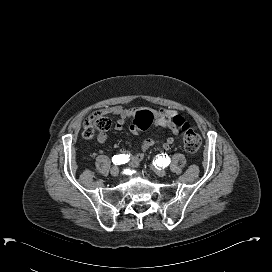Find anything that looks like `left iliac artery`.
Segmentation results:
<instances>
[{"instance_id":"left-iliac-artery-1","label":"left iliac artery","mask_w":272,"mask_h":272,"mask_svg":"<svg viewBox=\"0 0 272 272\" xmlns=\"http://www.w3.org/2000/svg\"><path fill=\"white\" fill-rule=\"evenodd\" d=\"M170 158L168 157V155L164 156V154H162L161 156H158V158L155 160V162H153V164L155 166H159V167H165L168 166L170 164Z\"/></svg>"}]
</instances>
